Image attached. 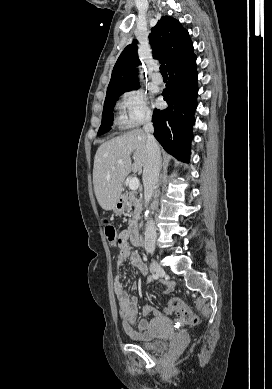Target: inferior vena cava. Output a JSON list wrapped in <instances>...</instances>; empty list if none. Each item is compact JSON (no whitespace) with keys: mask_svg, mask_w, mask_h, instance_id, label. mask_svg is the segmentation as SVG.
Masks as SVG:
<instances>
[{"mask_svg":"<svg viewBox=\"0 0 272 389\" xmlns=\"http://www.w3.org/2000/svg\"><path fill=\"white\" fill-rule=\"evenodd\" d=\"M143 129L147 137V160L143 169L144 197L145 203H149L159 180L161 154L159 146L153 136L154 127L151 118H147ZM156 237L155 224L152 219H149L144 240V248L147 252H154Z\"/></svg>","mask_w":272,"mask_h":389,"instance_id":"obj_1","label":"inferior vena cava"}]
</instances>
